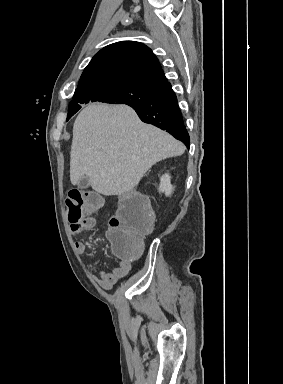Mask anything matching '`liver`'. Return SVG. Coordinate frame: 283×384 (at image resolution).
<instances>
[{
  "mask_svg": "<svg viewBox=\"0 0 283 384\" xmlns=\"http://www.w3.org/2000/svg\"><path fill=\"white\" fill-rule=\"evenodd\" d=\"M185 150L167 132L143 124L125 104H89L73 126L71 184L88 178L95 192L120 196L131 192L156 162L182 156Z\"/></svg>",
  "mask_w": 283,
  "mask_h": 384,
  "instance_id": "obj_1",
  "label": "liver"
}]
</instances>
